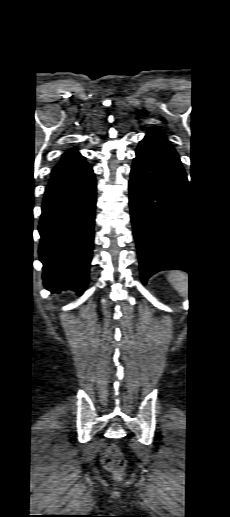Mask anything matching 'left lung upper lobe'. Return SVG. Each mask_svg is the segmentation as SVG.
<instances>
[{
	"label": "left lung upper lobe",
	"mask_w": 230,
	"mask_h": 517,
	"mask_svg": "<svg viewBox=\"0 0 230 517\" xmlns=\"http://www.w3.org/2000/svg\"><path fill=\"white\" fill-rule=\"evenodd\" d=\"M145 138L160 139V140L168 142L165 137H162V136H160V135H158L157 133H154V132H148L147 135L145 136Z\"/></svg>",
	"instance_id": "obj_1"
}]
</instances>
